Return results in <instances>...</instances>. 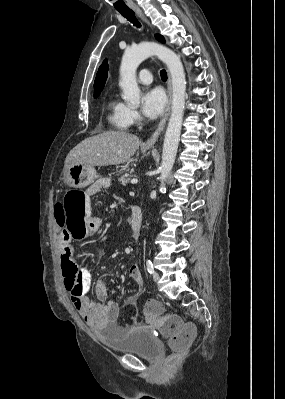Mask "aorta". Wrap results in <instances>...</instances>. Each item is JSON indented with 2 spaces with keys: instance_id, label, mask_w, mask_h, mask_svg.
I'll return each mask as SVG.
<instances>
[{
  "instance_id": "1",
  "label": "aorta",
  "mask_w": 285,
  "mask_h": 399,
  "mask_svg": "<svg viewBox=\"0 0 285 399\" xmlns=\"http://www.w3.org/2000/svg\"><path fill=\"white\" fill-rule=\"evenodd\" d=\"M153 55L158 56L167 65L173 92L171 116L165 133L160 166V191H162L175 162L185 109L186 81L180 57L171 49L155 42H142L135 47L127 48L121 61L119 86L123 90V99L127 104L138 107L140 89L136 80V70L141 62Z\"/></svg>"
}]
</instances>
